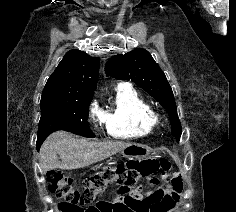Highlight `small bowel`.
<instances>
[{
	"label": "small bowel",
	"instance_id": "c3829d8e",
	"mask_svg": "<svg viewBox=\"0 0 236 212\" xmlns=\"http://www.w3.org/2000/svg\"><path fill=\"white\" fill-rule=\"evenodd\" d=\"M162 174L171 180V190L144 192L142 184H150V179H137V182L117 179V188L111 190L109 199H96L99 205H90L82 212H169L177 203L182 184L178 176L171 175L169 168L162 169ZM115 202L118 205H114Z\"/></svg>",
	"mask_w": 236,
	"mask_h": 212
}]
</instances>
